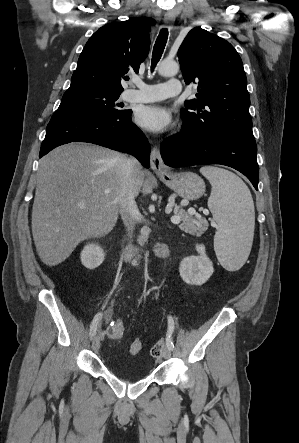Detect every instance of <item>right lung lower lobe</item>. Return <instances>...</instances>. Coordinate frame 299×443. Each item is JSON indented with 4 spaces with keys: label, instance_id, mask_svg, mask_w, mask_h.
I'll use <instances>...</instances> for the list:
<instances>
[{
    "label": "right lung lower lobe",
    "instance_id": "1",
    "mask_svg": "<svg viewBox=\"0 0 299 443\" xmlns=\"http://www.w3.org/2000/svg\"><path fill=\"white\" fill-rule=\"evenodd\" d=\"M131 114V110L107 115L57 110L47 125L40 158L63 144L88 142L134 155L149 168L150 145Z\"/></svg>",
    "mask_w": 299,
    "mask_h": 443
}]
</instances>
